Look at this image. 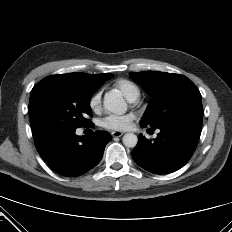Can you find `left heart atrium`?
<instances>
[{"label": "left heart atrium", "mask_w": 232, "mask_h": 232, "mask_svg": "<svg viewBox=\"0 0 232 232\" xmlns=\"http://www.w3.org/2000/svg\"><path fill=\"white\" fill-rule=\"evenodd\" d=\"M134 115H109L102 120V126L108 130L124 131L131 127Z\"/></svg>", "instance_id": "obj_1"}]
</instances>
